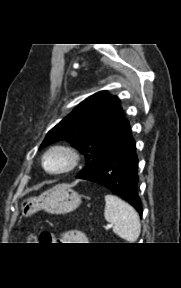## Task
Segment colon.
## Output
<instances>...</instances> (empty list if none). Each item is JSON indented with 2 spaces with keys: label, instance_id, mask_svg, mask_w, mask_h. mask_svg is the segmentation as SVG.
<instances>
[{
  "label": "colon",
  "instance_id": "obj_1",
  "mask_svg": "<svg viewBox=\"0 0 181 288\" xmlns=\"http://www.w3.org/2000/svg\"><path fill=\"white\" fill-rule=\"evenodd\" d=\"M48 234H42L40 235L39 237L38 236H35V235H30L28 237V242L29 243H36V242H48L47 239H48Z\"/></svg>",
  "mask_w": 181,
  "mask_h": 288
}]
</instances>
